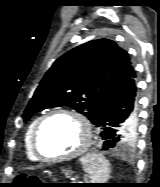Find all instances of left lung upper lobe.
<instances>
[{
    "label": "left lung upper lobe",
    "mask_w": 160,
    "mask_h": 187,
    "mask_svg": "<svg viewBox=\"0 0 160 187\" xmlns=\"http://www.w3.org/2000/svg\"><path fill=\"white\" fill-rule=\"evenodd\" d=\"M132 72L129 55L114 41L98 39L82 44L54 62L25 109L23 119L27 121L34 113L50 107L69 106L94 124L105 98L127 81ZM136 126L122 144L134 140Z\"/></svg>",
    "instance_id": "1"
}]
</instances>
